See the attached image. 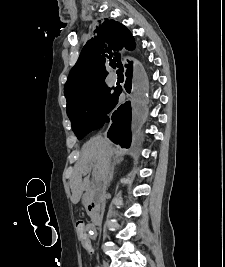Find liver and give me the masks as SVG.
I'll return each instance as SVG.
<instances>
[{
  "mask_svg": "<svg viewBox=\"0 0 225 267\" xmlns=\"http://www.w3.org/2000/svg\"><path fill=\"white\" fill-rule=\"evenodd\" d=\"M118 152L111 142L107 139L103 141L99 140L98 137L91 138L82 147L80 159L74 167L73 176L71 179L72 189V202L78 203L83 191L85 190L88 179L82 181V176L88 174L91 171L93 165L97 168L96 179L101 180V176L107 165L110 164L114 153Z\"/></svg>",
  "mask_w": 225,
  "mask_h": 267,
  "instance_id": "6515ba94",
  "label": "liver"
}]
</instances>
